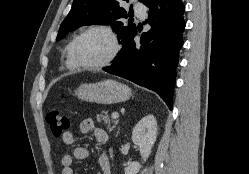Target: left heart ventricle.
<instances>
[{"mask_svg":"<svg viewBox=\"0 0 249 174\" xmlns=\"http://www.w3.org/2000/svg\"><path fill=\"white\" fill-rule=\"evenodd\" d=\"M112 45L109 37L100 31L90 32L79 42L77 54L87 64L103 61L111 52Z\"/></svg>","mask_w":249,"mask_h":174,"instance_id":"1","label":"left heart ventricle"}]
</instances>
